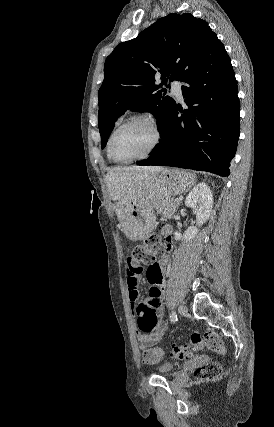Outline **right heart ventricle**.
Segmentation results:
<instances>
[{
	"instance_id": "obj_1",
	"label": "right heart ventricle",
	"mask_w": 274,
	"mask_h": 427,
	"mask_svg": "<svg viewBox=\"0 0 274 427\" xmlns=\"http://www.w3.org/2000/svg\"><path fill=\"white\" fill-rule=\"evenodd\" d=\"M108 158L111 160V161H113V159L108 155Z\"/></svg>"
}]
</instances>
